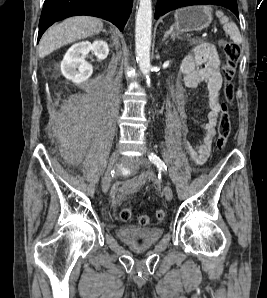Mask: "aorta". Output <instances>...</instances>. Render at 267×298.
Returning a JSON list of instances; mask_svg holds the SVG:
<instances>
[{
	"label": "aorta",
	"mask_w": 267,
	"mask_h": 298,
	"mask_svg": "<svg viewBox=\"0 0 267 298\" xmlns=\"http://www.w3.org/2000/svg\"><path fill=\"white\" fill-rule=\"evenodd\" d=\"M152 27V2L151 0H139L135 25V51L141 72L150 83L149 73L150 47Z\"/></svg>",
	"instance_id": "aorta-1"
}]
</instances>
